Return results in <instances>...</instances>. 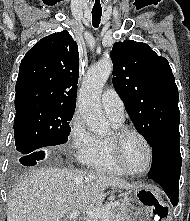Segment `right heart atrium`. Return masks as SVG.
Instances as JSON below:
<instances>
[{
    "label": "right heart atrium",
    "mask_w": 190,
    "mask_h": 221,
    "mask_svg": "<svg viewBox=\"0 0 190 221\" xmlns=\"http://www.w3.org/2000/svg\"><path fill=\"white\" fill-rule=\"evenodd\" d=\"M68 144L73 156L80 163H87L95 151L96 137L78 114H74L69 122Z\"/></svg>",
    "instance_id": "obj_1"
}]
</instances>
